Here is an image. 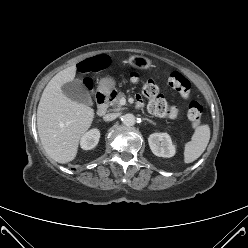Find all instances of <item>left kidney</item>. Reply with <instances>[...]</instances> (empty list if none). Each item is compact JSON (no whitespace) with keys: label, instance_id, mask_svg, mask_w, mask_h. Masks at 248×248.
Returning a JSON list of instances; mask_svg holds the SVG:
<instances>
[{"label":"left kidney","instance_id":"obj_1","mask_svg":"<svg viewBox=\"0 0 248 248\" xmlns=\"http://www.w3.org/2000/svg\"><path fill=\"white\" fill-rule=\"evenodd\" d=\"M151 151L158 157L170 158L175 155V146L167 133H154L148 138Z\"/></svg>","mask_w":248,"mask_h":248}]
</instances>
